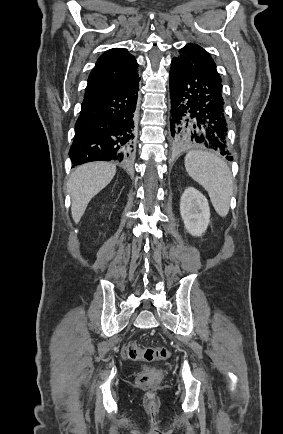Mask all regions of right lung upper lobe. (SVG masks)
Returning <instances> with one entry per match:
<instances>
[{
  "instance_id": "1",
  "label": "right lung upper lobe",
  "mask_w": 283,
  "mask_h": 434,
  "mask_svg": "<svg viewBox=\"0 0 283 434\" xmlns=\"http://www.w3.org/2000/svg\"><path fill=\"white\" fill-rule=\"evenodd\" d=\"M138 63L124 48H113L103 53L92 69L84 99L121 89L137 79Z\"/></svg>"
}]
</instances>
